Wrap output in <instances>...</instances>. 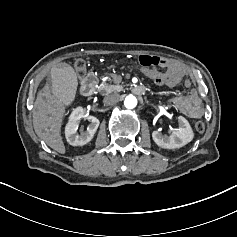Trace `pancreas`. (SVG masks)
Wrapping results in <instances>:
<instances>
[{
  "label": "pancreas",
  "instance_id": "pancreas-1",
  "mask_svg": "<svg viewBox=\"0 0 237 237\" xmlns=\"http://www.w3.org/2000/svg\"><path fill=\"white\" fill-rule=\"evenodd\" d=\"M99 91L104 93V94L109 93V92H114L113 85H110L107 82H102V84L99 88Z\"/></svg>",
  "mask_w": 237,
  "mask_h": 237
}]
</instances>
